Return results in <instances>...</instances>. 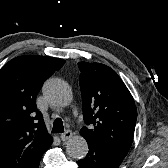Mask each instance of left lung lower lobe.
I'll return each mask as SVG.
<instances>
[{
	"mask_svg": "<svg viewBox=\"0 0 168 168\" xmlns=\"http://www.w3.org/2000/svg\"><path fill=\"white\" fill-rule=\"evenodd\" d=\"M89 151L78 160L80 168H118L125 156L93 141H87Z\"/></svg>",
	"mask_w": 168,
	"mask_h": 168,
	"instance_id": "obj_1",
	"label": "left lung lower lobe"
}]
</instances>
